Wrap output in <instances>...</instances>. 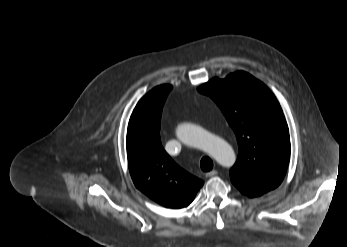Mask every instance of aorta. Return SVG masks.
Segmentation results:
<instances>
[{
    "mask_svg": "<svg viewBox=\"0 0 347 247\" xmlns=\"http://www.w3.org/2000/svg\"><path fill=\"white\" fill-rule=\"evenodd\" d=\"M176 135L181 142L207 152L224 167H231L236 161L234 150L224 139L198 125L182 123L177 127Z\"/></svg>",
    "mask_w": 347,
    "mask_h": 247,
    "instance_id": "762f6f07",
    "label": "aorta"
}]
</instances>
